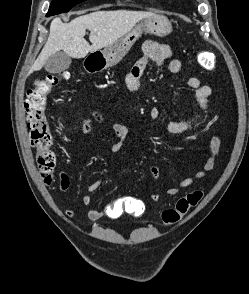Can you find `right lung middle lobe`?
Here are the masks:
<instances>
[{
	"label": "right lung middle lobe",
	"instance_id": "right-lung-middle-lobe-1",
	"mask_svg": "<svg viewBox=\"0 0 249 294\" xmlns=\"http://www.w3.org/2000/svg\"><path fill=\"white\" fill-rule=\"evenodd\" d=\"M85 0H52L47 16L68 12L73 6Z\"/></svg>",
	"mask_w": 249,
	"mask_h": 294
}]
</instances>
